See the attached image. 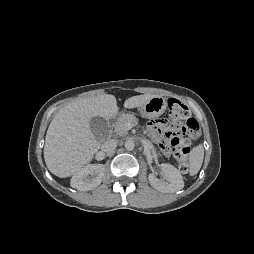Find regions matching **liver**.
<instances>
[{"label": "liver", "mask_w": 254, "mask_h": 254, "mask_svg": "<svg viewBox=\"0 0 254 254\" xmlns=\"http://www.w3.org/2000/svg\"><path fill=\"white\" fill-rule=\"evenodd\" d=\"M156 95L144 94L125 100L124 107L139 108ZM116 98L103 94L83 98L63 107L52 119L45 138L44 159L48 170L66 178L79 172L100 149L90 128V119L101 116L106 120L118 113Z\"/></svg>", "instance_id": "liver-1"}]
</instances>
